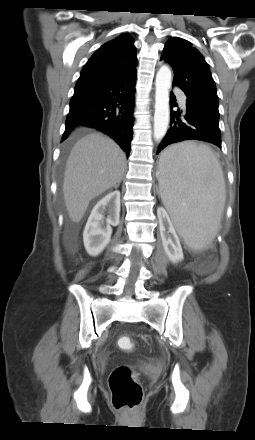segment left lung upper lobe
Listing matches in <instances>:
<instances>
[{
	"label": "left lung upper lobe",
	"mask_w": 255,
	"mask_h": 440,
	"mask_svg": "<svg viewBox=\"0 0 255 440\" xmlns=\"http://www.w3.org/2000/svg\"><path fill=\"white\" fill-rule=\"evenodd\" d=\"M161 60L171 64L173 85L183 90L188 102L218 110L217 90L209 65L189 41L179 37L170 38Z\"/></svg>",
	"instance_id": "obj_1"
}]
</instances>
